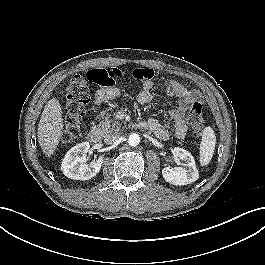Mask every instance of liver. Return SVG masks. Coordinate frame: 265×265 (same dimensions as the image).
Masks as SVG:
<instances>
[{
    "label": "liver",
    "instance_id": "6515ba94",
    "mask_svg": "<svg viewBox=\"0 0 265 265\" xmlns=\"http://www.w3.org/2000/svg\"><path fill=\"white\" fill-rule=\"evenodd\" d=\"M63 118L57 98L50 99L42 112L38 126V141L43 153L50 157L62 136Z\"/></svg>",
    "mask_w": 265,
    "mask_h": 265
}]
</instances>
